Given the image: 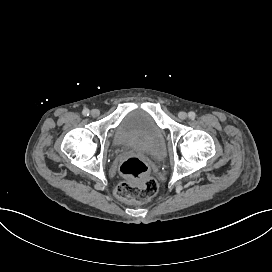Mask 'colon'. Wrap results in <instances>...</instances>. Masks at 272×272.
<instances>
[{
  "mask_svg": "<svg viewBox=\"0 0 272 272\" xmlns=\"http://www.w3.org/2000/svg\"><path fill=\"white\" fill-rule=\"evenodd\" d=\"M119 173L127 182L117 187L116 193L137 203L149 200L158 191V182L149 176V164L140 157L123 160L119 165Z\"/></svg>",
  "mask_w": 272,
  "mask_h": 272,
  "instance_id": "obj_1",
  "label": "colon"
}]
</instances>
